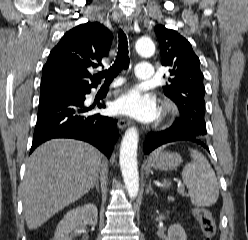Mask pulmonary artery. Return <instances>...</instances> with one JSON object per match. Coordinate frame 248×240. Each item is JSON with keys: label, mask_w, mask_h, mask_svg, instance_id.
I'll return each mask as SVG.
<instances>
[{"label": "pulmonary artery", "mask_w": 248, "mask_h": 240, "mask_svg": "<svg viewBox=\"0 0 248 240\" xmlns=\"http://www.w3.org/2000/svg\"><path fill=\"white\" fill-rule=\"evenodd\" d=\"M153 73L154 70L150 63L140 62L136 66L135 76L139 80L150 81L154 78ZM121 82V80H117L114 85H119Z\"/></svg>", "instance_id": "pulmonary-artery-1"}]
</instances>
